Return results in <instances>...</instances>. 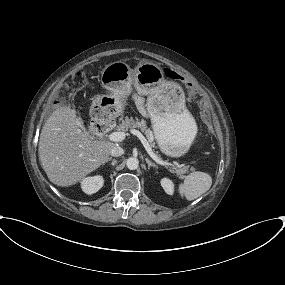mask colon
<instances>
[{
    "label": "colon",
    "mask_w": 285,
    "mask_h": 285,
    "mask_svg": "<svg viewBox=\"0 0 285 285\" xmlns=\"http://www.w3.org/2000/svg\"><path fill=\"white\" fill-rule=\"evenodd\" d=\"M164 73H165V75L168 78L175 79V80H180V81L185 82L187 84L188 94H189V96L191 98L196 99V100H198L200 102L204 101V94H203V92L197 86H195L194 84L188 83L183 76L177 74L176 72H174L171 69H165ZM203 111H205V109H203Z\"/></svg>",
    "instance_id": "1"
}]
</instances>
